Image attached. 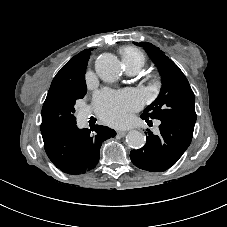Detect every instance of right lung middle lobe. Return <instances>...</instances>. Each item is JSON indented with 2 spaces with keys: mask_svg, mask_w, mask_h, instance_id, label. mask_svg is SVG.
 I'll use <instances>...</instances> for the list:
<instances>
[{
  "mask_svg": "<svg viewBox=\"0 0 227 227\" xmlns=\"http://www.w3.org/2000/svg\"><path fill=\"white\" fill-rule=\"evenodd\" d=\"M86 83L51 85L42 107L41 133L45 138L55 131L69 129L76 124L75 103L85 96Z\"/></svg>",
  "mask_w": 227,
  "mask_h": 227,
  "instance_id": "obj_1",
  "label": "right lung middle lobe"
}]
</instances>
